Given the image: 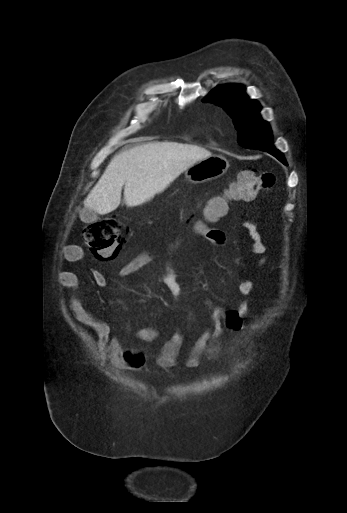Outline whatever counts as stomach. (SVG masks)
I'll return each instance as SVG.
<instances>
[{
	"instance_id": "stomach-1",
	"label": "stomach",
	"mask_w": 347,
	"mask_h": 513,
	"mask_svg": "<svg viewBox=\"0 0 347 513\" xmlns=\"http://www.w3.org/2000/svg\"><path fill=\"white\" fill-rule=\"evenodd\" d=\"M228 168L229 162L225 157L211 155L188 167L185 176L193 184L205 183L221 177Z\"/></svg>"
}]
</instances>
